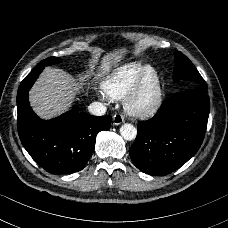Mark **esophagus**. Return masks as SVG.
Wrapping results in <instances>:
<instances>
[{
  "label": "esophagus",
  "mask_w": 228,
  "mask_h": 228,
  "mask_svg": "<svg viewBox=\"0 0 228 228\" xmlns=\"http://www.w3.org/2000/svg\"><path fill=\"white\" fill-rule=\"evenodd\" d=\"M123 122H124V117L121 114L116 113L113 115V124L115 126H118V125L122 124Z\"/></svg>",
  "instance_id": "obj_1"
}]
</instances>
